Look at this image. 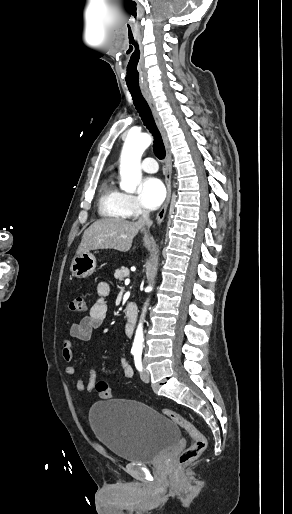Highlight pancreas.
<instances>
[{
  "label": "pancreas",
  "mask_w": 292,
  "mask_h": 514,
  "mask_svg": "<svg viewBox=\"0 0 292 514\" xmlns=\"http://www.w3.org/2000/svg\"><path fill=\"white\" fill-rule=\"evenodd\" d=\"M129 274L130 272L128 268H124V266H122L120 270H115L114 278H116V280H119V282H122L124 278H128Z\"/></svg>",
  "instance_id": "cf45deb5"
}]
</instances>
